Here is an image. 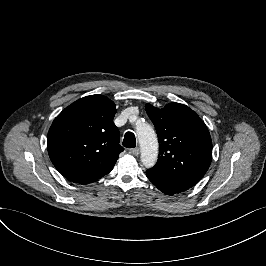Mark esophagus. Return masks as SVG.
<instances>
[{"instance_id":"obj_1","label":"esophagus","mask_w":266,"mask_h":266,"mask_svg":"<svg viewBox=\"0 0 266 266\" xmlns=\"http://www.w3.org/2000/svg\"><path fill=\"white\" fill-rule=\"evenodd\" d=\"M139 148H133V149H130L129 153L134 155V156H138L139 155Z\"/></svg>"}]
</instances>
